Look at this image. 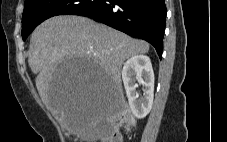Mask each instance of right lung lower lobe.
I'll return each instance as SVG.
<instances>
[{"label":"right lung lower lobe","mask_w":227,"mask_h":142,"mask_svg":"<svg viewBox=\"0 0 227 142\" xmlns=\"http://www.w3.org/2000/svg\"><path fill=\"white\" fill-rule=\"evenodd\" d=\"M166 13L164 0H104L77 15L151 43L161 58Z\"/></svg>","instance_id":"obj_1"}]
</instances>
